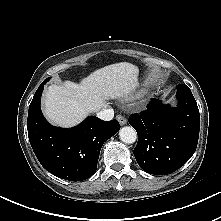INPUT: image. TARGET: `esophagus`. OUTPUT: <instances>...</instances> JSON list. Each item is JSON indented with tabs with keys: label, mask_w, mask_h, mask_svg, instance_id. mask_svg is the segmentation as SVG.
Masks as SVG:
<instances>
[{
	"label": "esophagus",
	"mask_w": 221,
	"mask_h": 221,
	"mask_svg": "<svg viewBox=\"0 0 221 221\" xmlns=\"http://www.w3.org/2000/svg\"><path fill=\"white\" fill-rule=\"evenodd\" d=\"M116 119L122 126L127 124V119L122 115H117Z\"/></svg>",
	"instance_id": "obj_1"
}]
</instances>
